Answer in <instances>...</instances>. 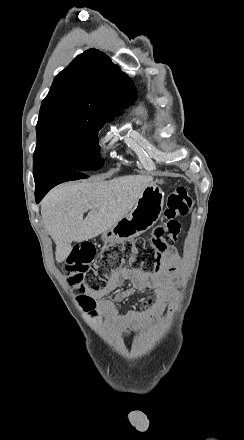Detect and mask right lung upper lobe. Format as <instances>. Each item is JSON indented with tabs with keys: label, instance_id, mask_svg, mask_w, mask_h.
<instances>
[{
	"label": "right lung upper lobe",
	"instance_id": "right-lung-upper-lobe-1",
	"mask_svg": "<svg viewBox=\"0 0 244 440\" xmlns=\"http://www.w3.org/2000/svg\"><path fill=\"white\" fill-rule=\"evenodd\" d=\"M136 98L131 79L103 52L90 49L55 77L42 103H75L116 112Z\"/></svg>",
	"mask_w": 244,
	"mask_h": 440
}]
</instances>
